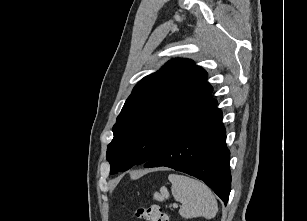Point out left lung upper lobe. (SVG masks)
<instances>
[{
    "label": "left lung upper lobe",
    "mask_w": 307,
    "mask_h": 221,
    "mask_svg": "<svg viewBox=\"0 0 307 221\" xmlns=\"http://www.w3.org/2000/svg\"><path fill=\"white\" fill-rule=\"evenodd\" d=\"M206 72L188 59H174L134 87L113 127L106 158L110 173L146 163L168 141L217 101Z\"/></svg>",
    "instance_id": "1"
}]
</instances>
